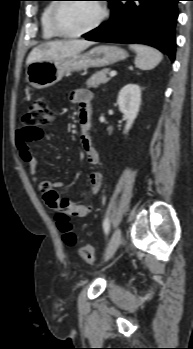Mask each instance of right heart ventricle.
<instances>
[{"label":"right heart ventricle","instance_id":"1","mask_svg":"<svg viewBox=\"0 0 193 349\" xmlns=\"http://www.w3.org/2000/svg\"><path fill=\"white\" fill-rule=\"evenodd\" d=\"M52 1H54V0H52ZM53 5H54V3H52V2L48 3L44 7V9L42 10V13L40 16L42 36L44 39H53V38L57 37V35L51 29L50 23H49V16H50V12H51Z\"/></svg>","mask_w":193,"mask_h":349}]
</instances>
